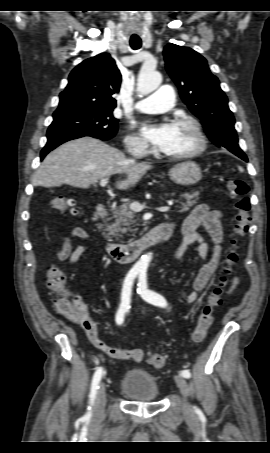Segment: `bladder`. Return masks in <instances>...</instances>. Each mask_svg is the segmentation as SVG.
Returning a JSON list of instances; mask_svg holds the SVG:
<instances>
[{
	"label": "bladder",
	"mask_w": 270,
	"mask_h": 453,
	"mask_svg": "<svg viewBox=\"0 0 270 453\" xmlns=\"http://www.w3.org/2000/svg\"><path fill=\"white\" fill-rule=\"evenodd\" d=\"M120 390L135 402H154L159 397L155 378L148 371L139 368L124 374Z\"/></svg>",
	"instance_id": "obj_1"
}]
</instances>
